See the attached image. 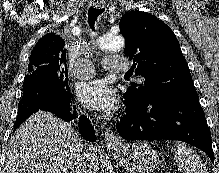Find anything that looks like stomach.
<instances>
[{
    "label": "stomach",
    "instance_id": "1",
    "mask_svg": "<svg viewBox=\"0 0 219 173\" xmlns=\"http://www.w3.org/2000/svg\"><path fill=\"white\" fill-rule=\"evenodd\" d=\"M110 151L127 173H153L159 164L157 152L145 142L120 143Z\"/></svg>",
    "mask_w": 219,
    "mask_h": 173
}]
</instances>
